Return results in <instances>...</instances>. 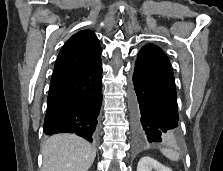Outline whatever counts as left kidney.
I'll list each match as a JSON object with an SVG mask.
<instances>
[{
  "label": "left kidney",
  "instance_id": "obj_1",
  "mask_svg": "<svg viewBox=\"0 0 223 171\" xmlns=\"http://www.w3.org/2000/svg\"><path fill=\"white\" fill-rule=\"evenodd\" d=\"M172 171L170 168L162 165L157 160L149 156L142 157L137 165V171Z\"/></svg>",
  "mask_w": 223,
  "mask_h": 171
}]
</instances>
